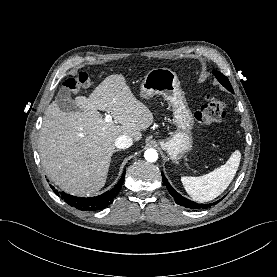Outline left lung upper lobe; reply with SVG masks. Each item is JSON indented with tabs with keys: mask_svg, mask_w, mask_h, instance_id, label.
<instances>
[{
	"mask_svg": "<svg viewBox=\"0 0 277 277\" xmlns=\"http://www.w3.org/2000/svg\"><path fill=\"white\" fill-rule=\"evenodd\" d=\"M213 74L216 76L217 80L230 92H233L232 86L229 82V80L227 79L226 76H224L222 73H220L219 71L214 70Z\"/></svg>",
	"mask_w": 277,
	"mask_h": 277,
	"instance_id": "1",
	"label": "left lung upper lobe"
}]
</instances>
